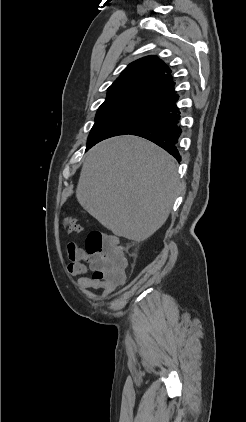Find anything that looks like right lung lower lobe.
Here are the masks:
<instances>
[{
    "instance_id": "1",
    "label": "right lung lower lobe",
    "mask_w": 246,
    "mask_h": 422,
    "mask_svg": "<svg viewBox=\"0 0 246 422\" xmlns=\"http://www.w3.org/2000/svg\"><path fill=\"white\" fill-rule=\"evenodd\" d=\"M162 114L155 120L134 130L130 135L146 138L180 161L179 152L175 144L182 130L177 126L179 119V108L176 101L161 109Z\"/></svg>"
}]
</instances>
